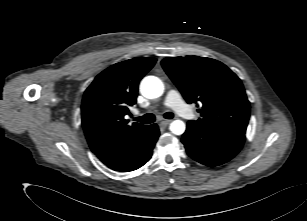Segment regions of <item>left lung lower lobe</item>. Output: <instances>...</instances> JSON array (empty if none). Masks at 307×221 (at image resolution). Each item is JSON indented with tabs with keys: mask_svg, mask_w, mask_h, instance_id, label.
<instances>
[{
	"mask_svg": "<svg viewBox=\"0 0 307 221\" xmlns=\"http://www.w3.org/2000/svg\"><path fill=\"white\" fill-rule=\"evenodd\" d=\"M245 134L227 129L211 128L189 121L182 135L188 155L208 167L224 164L241 150Z\"/></svg>",
	"mask_w": 307,
	"mask_h": 221,
	"instance_id": "0a47b994",
	"label": "left lung lower lobe"
}]
</instances>
